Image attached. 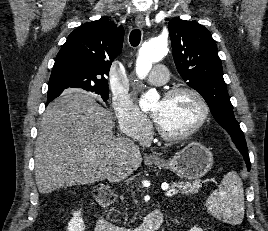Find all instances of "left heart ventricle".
Segmentation results:
<instances>
[{
    "label": "left heart ventricle",
    "instance_id": "1",
    "mask_svg": "<svg viewBox=\"0 0 268 231\" xmlns=\"http://www.w3.org/2000/svg\"><path fill=\"white\" fill-rule=\"evenodd\" d=\"M151 110L156 121L169 133H181L189 129L199 118V105L188 94H180L171 99L156 100Z\"/></svg>",
    "mask_w": 268,
    "mask_h": 231
}]
</instances>
